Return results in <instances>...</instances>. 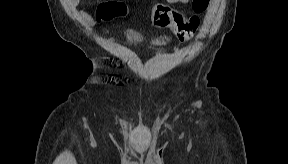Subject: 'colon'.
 Returning a JSON list of instances; mask_svg holds the SVG:
<instances>
[{
  "label": "colon",
  "instance_id": "5ec220e1",
  "mask_svg": "<svg viewBox=\"0 0 288 164\" xmlns=\"http://www.w3.org/2000/svg\"><path fill=\"white\" fill-rule=\"evenodd\" d=\"M208 6V0L195 1L198 11ZM125 13V7L118 2H101L95 9L96 20L105 22ZM150 21L156 28H169L182 41L192 39L200 28L201 20L197 15L184 18L182 13L168 5H155L150 12Z\"/></svg>",
  "mask_w": 288,
  "mask_h": 164
}]
</instances>
